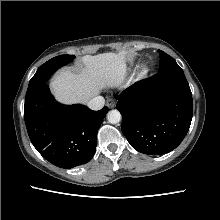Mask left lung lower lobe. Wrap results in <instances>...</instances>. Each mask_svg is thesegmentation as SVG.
I'll return each mask as SVG.
<instances>
[{
    "mask_svg": "<svg viewBox=\"0 0 220 220\" xmlns=\"http://www.w3.org/2000/svg\"><path fill=\"white\" fill-rule=\"evenodd\" d=\"M122 132L137 151L161 155L186 136L193 114L192 93L183 71L144 79L118 96Z\"/></svg>",
    "mask_w": 220,
    "mask_h": 220,
    "instance_id": "1",
    "label": "left lung lower lobe"
}]
</instances>
